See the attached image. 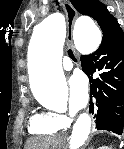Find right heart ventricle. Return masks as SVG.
<instances>
[{
  "instance_id": "obj_1",
  "label": "right heart ventricle",
  "mask_w": 124,
  "mask_h": 149,
  "mask_svg": "<svg viewBox=\"0 0 124 149\" xmlns=\"http://www.w3.org/2000/svg\"><path fill=\"white\" fill-rule=\"evenodd\" d=\"M63 128L64 126L59 123L55 114L40 112L31 116L28 131L36 136L50 137L59 133Z\"/></svg>"
}]
</instances>
